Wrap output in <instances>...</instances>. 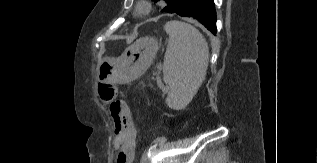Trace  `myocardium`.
Masks as SVG:
<instances>
[{
	"label": "myocardium",
	"instance_id": "myocardium-1",
	"mask_svg": "<svg viewBox=\"0 0 317 163\" xmlns=\"http://www.w3.org/2000/svg\"><path fill=\"white\" fill-rule=\"evenodd\" d=\"M151 11V5L148 0H140L135 8V14L139 17L146 16Z\"/></svg>",
	"mask_w": 317,
	"mask_h": 163
}]
</instances>
